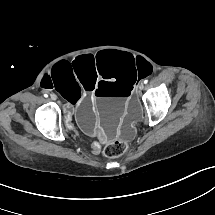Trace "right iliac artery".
<instances>
[{
  "mask_svg": "<svg viewBox=\"0 0 215 215\" xmlns=\"http://www.w3.org/2000/svg\"><path fill=\"white\" fill-rule=\"evenodd\" d=\"M44 97H48V94H47V93H45V94H44Z\"/></svg>",
  "mask_w": 215,
  "mask_h": 215,
  "instance_id": "right-iliac-artery-1",
  "label": "right iliac artery"
}]
</instances>
